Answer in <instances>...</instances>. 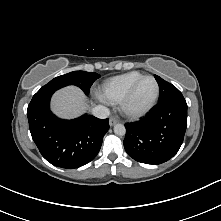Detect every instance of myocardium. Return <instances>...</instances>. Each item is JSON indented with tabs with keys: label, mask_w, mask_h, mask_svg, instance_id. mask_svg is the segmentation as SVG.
I'll return each instance as SVG.
<instances>
[{
	"label": "myocardium",
	"mask_w": 221,
	"mask_h": 221,
	"mask_svg": "<svg viewBox=\"0 0 221 221\" xmlns=\"http://www.w3.org/2000/svg\"><path fill=\"white\" fill-rule=\"evenodd\" d=\"M146 79H151L155 84V93L152 99L143 107L141 108H133L131 103L134 97V94L138 88V86ZM159 84L157 80L151 75L142 76L138 79L128 90L125 94L123 99L120 101V107L122 112L129 118L138 119L146 115L156 104L158 97H159Z\"/></svg>",
	"instance_id": "myocardium-1"
}]
</instances>
